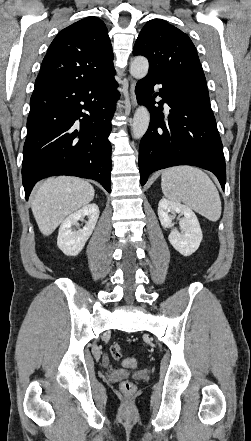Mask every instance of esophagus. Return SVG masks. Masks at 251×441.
Segmentation results:
<instances>
[{
	"mask_svg": "<svg viewBox=\"0 0 251 441\" xmlns=\"http://www.w3.org/2000/svg\"><path fill=\"white\" fill-rule=\"evenodd\" d=\"M135 85H136L135 80H131V83H130V100H131L132 108H135L136 105H137L136 96H135V93H134Z\"/></svg>",
	"mask_w": 251,
	"mask_h": 441,
	"instance_id": "1",
	"label": "esophagus"
}]
</instances>
